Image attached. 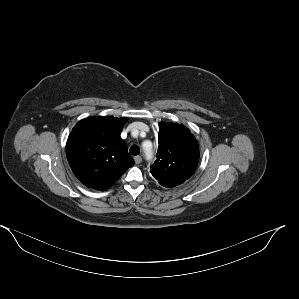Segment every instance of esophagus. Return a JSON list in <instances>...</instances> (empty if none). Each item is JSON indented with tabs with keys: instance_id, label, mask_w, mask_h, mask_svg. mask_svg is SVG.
I'll return each instance as SVG.
<instances>
[{
	"instance_id": "obj_1",
	"label": "esophagus",
	"mask_w": 299,
	"mask_h": 299,
	"mask_svg": "<svg viewBox=\"0 0 299 299\" xmlns=\"http://www.w3.org/2000/svg\"><path fill=\"white\" fill-rule=\"evenodd\" d=\"M134 161L136 164H140L142 162V157L141 156H135Z\"/></svg>"
}]
</instances>
